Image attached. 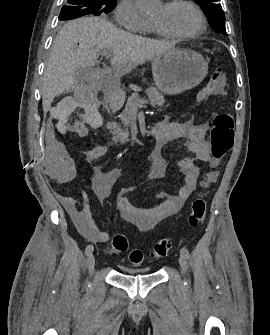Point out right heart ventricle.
Returning a JSON list of instances; mask_svg holds the SVG:
<instances>
[{
    "label": "right heart ventricle",
    "mask_w": 270,
    "mask_h": 335,
    "mask_svg": "<svg viewBox=\"0 0 270 335\" xmlns=\"http://www.w3.org/2000/svg\"><path fill=\"white\" fill-rule=\"evenodd\" d=\"M148 32L149 33H154V34H159L152 26L151 23L148 22ZM162 78H169V77H162Z\"/></svg>",
    "instance_id": "e07e8e85"
}]
</instances>
